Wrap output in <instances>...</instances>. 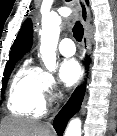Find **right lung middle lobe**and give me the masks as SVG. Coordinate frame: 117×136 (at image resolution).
<instances>
[{"instance_id":"dd1d6c3e","label":"right lung middle lobe","mask_w":117,"mask_h":136,"mask_svg":"<svg viewBox=\"0 0 117 136\" xmlns=\"http://www.w3.org/2000/svg\"><path fill=\"white\" fill-rule=\"evenodd\" d=\"M20 60V58L18 59H12V60H9L5 66V71H4V78L2 80V96L4 94V91H5V88H6V85H7V82H8V79H9V76L11 74V71L13 70L14 68V64Z\"/></svg>"}]
</instances>
